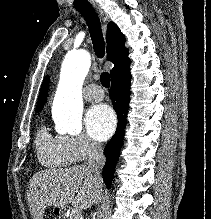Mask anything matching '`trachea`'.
Here are the masks:
<instances>
[{
    "instance_id": "3493384b",
    "label": "trachea",
    "mask_w": 211,
    "mask_h": 219,
    "mask_svg": "<svg viewBox=\"0 0 211 219\" xmlns=\"http://www.w3.org/2000/svg\"><path fill=\"white\" fill-rule=\"evenodd\" d=\"M76 9L84 17L91 35L93 48L98 58H102L105 53L104 38L101 30V23L99 17L91 5L76 6ZM101 84L110 87V75L108 72H103L100 76Z\"/></svg>"
}]
</instances>
